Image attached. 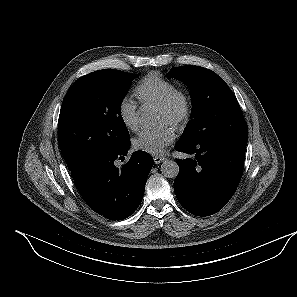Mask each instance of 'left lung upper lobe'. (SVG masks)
Listing matches in <instances>:
<instances>
[{
  "label": "left lung upper lobe",
  "mask_w": 297,
  "mask_h": 297,
  "mask_svg": "<svg viewBox=\"0 0 297 297\" xmlns=\"http://www.w3.org/2000/svg\"><path fill=\"white\" fill-rule=\"evenodd\" d=\"M167 76L185 83L192 98L191 120L180 142L193 143L214 131L244 122L235 95L215 72L199 66H180L172 68Z\"/></svg>",
  "instance_id": "1"
}]
</instances>
